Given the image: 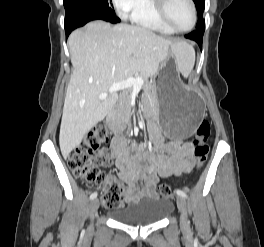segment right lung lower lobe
<instances>
[{"label":"right lung lower lobe","instance_id":"98d812e1","mask_svg":"<svg viewBox=\"0 0 264 247\" xmlns=\"http://www.w3.org/2000/svg\"><path fill=\"white\" fill-rule=\"evenodd\" d=\"M105 20L111 23L119 22L120 19L115 15L110 16L103 13H99L95 10L83 9V8H70L66 10L65 16V32L66 38L72 32V30L85 25L92 20Z\"/></svg>","mask_w":264,"mask_h":247}]
</instances>
